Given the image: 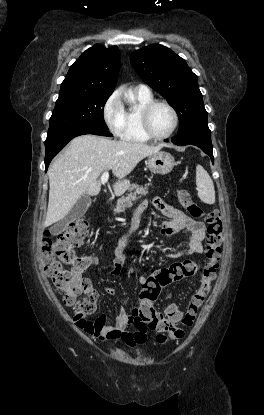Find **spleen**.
<instances>
[{
    "label": "spleen",
    "mask_w": 264,
    "mask_h": 415,
    "mask_svg": "<svg viewBox=\"0 0 264 415\" xmlns=\"http://www.w3.org/2000/svg\"><path fill=\"white\" fill-rule=\"evenodd\" d=\"M196 185L199 198L206 204H213L215 202L214 184L201 165L196 166Z\"/></svg>",
    "instance_id": "3e777b00"
}]
</instances>
